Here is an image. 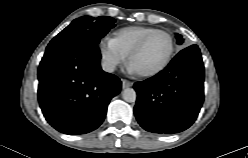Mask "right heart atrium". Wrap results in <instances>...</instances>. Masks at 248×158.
Wrapping results in <instances>:
<instances>
[{"instance_id":"right-heart-atrium-1","label":"right heart atrium","mask_w":248,"mask_h":158,"mask_svg":"<svg viewBox=\"0 0 248 158\" xmlns=\"http://www.w3.org/2000/svg\"><path fill=\"white\" fill-rule=\"evenodd\" d=\"M98 50L103 68L109 72L114 71L126 60V55L123 54L112 39H102L99 42Z\"/></svg>"}]
</instances>
